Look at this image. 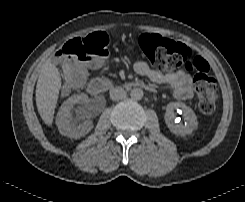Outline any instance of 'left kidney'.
<instances>
[{
  "label": "left kidney",
  "instance_id": "5707ae66",
  "mask_svg": "<svg viewBox=\"0 0 245 202\" xmlns=\"http://www.w3.org/2000/svg\"><path fill=\"white\" fill-rule=\"evenodd\" d=\"M175 110H181L183 112V117L186 121L185 125L176 122ZM164 120L169 130L173 134L180 136L191 134L198 126L197 116L194 111L181 102L167 104Z\"/></svg>",
  "mask_w": 245,
  "mask_h": 202
}]
</instances>
